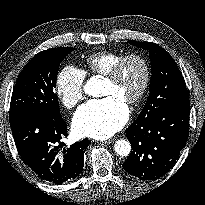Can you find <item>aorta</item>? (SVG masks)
Here are the masks:
<instances>
[{"mask_svg":"<svg viewBox=\"0 0 205 205\" xmlns=\"http://www.w3.org/2000/svg\"><path fill=\"white\" fill-rule=\"evenodd\" d=\"M84 91L90 96H98L100 91L98 83L94 79L89 80L85 86ZM114 150L119 156H128L131 152V145L127 140L120 139L115 142Z\"/></svg>","mask_w":205,"mask_h":205,"instance_id":"obj_1","label":"aorta"}]
</instances>
